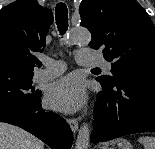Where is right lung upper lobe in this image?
Here are the masks:
<instances>
[{
  "mask_svg": "<svg viewBox=\"0 0 155 149\" xmlns=\"http://www.w3.org/2000/svg\"><path fill=\"white\" fill-rule=\"evenodd\" d=\"M52 23L51 10L37 0H16L4 6L0 10V67L33 73L41 62L32 52H42Z\"/></svg>",
  "mask_w": 155,
  "mask_h": 149,
  "instance_id": "1",
  "label": "right lung upper lobe"
}]
</instances>
